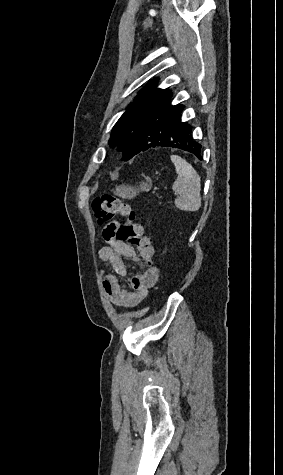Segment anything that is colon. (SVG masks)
Listing matches in <instances>:
<instances>
[{"label":"colon","instance_id":"obj_1","mask_svg":"<svg viewBox=\"0 0 283 475\" xmlns=\"http://www.w3.org/2000/svg\"><path fill=\"white\" fill-rule=\"evenodd\" d=\"M91 207L94 218L99 225L109 224L115 216H120L121 220L117 222L121 226V231L115 239L135 246L143 262L147 266H152L153 248L151 238L145 233L144 226L138 220L136 211L128 202L114 195L104 194L94 198Z\"/></svg>","mask_w":283,"mask_h":475}]
</instances>
